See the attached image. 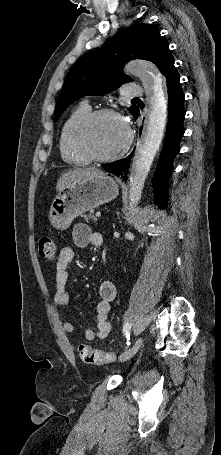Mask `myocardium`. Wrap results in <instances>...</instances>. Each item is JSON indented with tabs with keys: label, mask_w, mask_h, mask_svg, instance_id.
I'll return each instance as SVG.
<instances>
[{
	"label": "myocardium",
	"mask_w": 221,
	"mask_h": 455,
	"mask_svg": "<svg viewBox=\"0 0 221 455\" xmlns=\"http://www.w3.org/2000/svg\"><path fill=\"white\" fill-rule=\"evenodd\" d=\"M111 116L115 117L122 123L125 132H126V140L123 146L113 154L107 156H99L95 154L88 144V135L90 128L92 125L102 117ZM76 141L77 146L80 151L91 161L97 163H106L114 161L123 155L130 149L133 141V133L131 127L127 120L116 110L111 108H101L88 113L79 123L77 130H76Z\"/></svg>",
	"instance_id": "f54148a6"
}]
</instances>
